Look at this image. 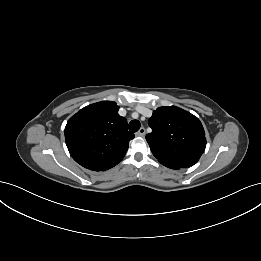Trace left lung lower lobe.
I'll list each match as a JSON object with an SVG mask.
<instances>
[{"label": "left lung lower lobe", "instance_id": "1", "mask_svg": "<svg viewBox=\"0 0 261 261\" xmlns=\"http://www.w3.org/2000/svg\"><path fill=\"white\" fill-rule=\"evenodd\" d=\"M161 164L165 165L166 167L168 168H172V169H180V167H177V166H173V165H169V164H165V163H162L160 162Z\"/></svg>", "mask_w": 261, "mask_h": 261}]
</instances>
